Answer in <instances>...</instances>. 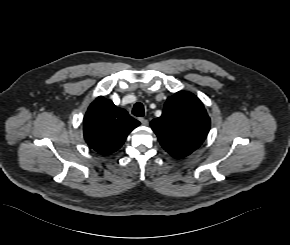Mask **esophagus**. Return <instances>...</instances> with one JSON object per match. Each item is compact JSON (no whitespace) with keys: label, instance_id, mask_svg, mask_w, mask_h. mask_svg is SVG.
Returning <instances> with one entry per match:
<instances>
[{"label":"esophagus","instance_id":"1","mask_svg":"<svg viewBox=\"0 0 290 245\" xmlns=\"http://www.w3.org/2000/svg\"><path fill=\"white\" fill-rule=\"evenodd\" d=\"M139 121L141 122L142 125L146 126L148 125V120L145 118H140Z\"/></svg>","mask_w":290,"mask_h":245}]
</instances>
